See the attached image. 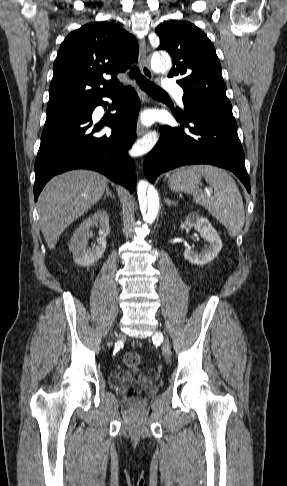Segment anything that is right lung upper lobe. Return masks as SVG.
<instances>
[{
  "label": "right lung upper lobe",
  "mask_w": 287,
  "mask_h": 486,
  "mask_svg": "<svg viewBox=\"0 0 287 486\" xmlns=\"http://www.w3.org/2000/svg\"><path fill=\"white\" fill-rule=\"evenodd\" d=\"M138 57L136 39L120 25L89 23L71 32L53 65L48 109L87 105L121 89L117 79ZM111 75L110 80L103 76Z\"/></svg>",
  "instance_id": "right-lung-upper-lobe-1"
}]
</instances>
